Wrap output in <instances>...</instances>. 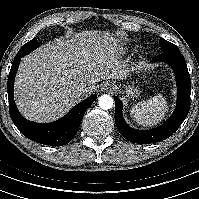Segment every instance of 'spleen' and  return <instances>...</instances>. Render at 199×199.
Listing matches in <instances>:
<instances>
[{"instance_id":"1","label":"spleen","mask_w":199,"mask_h":199,"mask_svg":"<svg viewBox=\"0 0 199 199\" xmlns=\"http://www.w3.org/2000/svg\"><path fill=\"white\" fill-rule=\"evenodd\" d=\"M167 111V101L159 94L137 104L130 110V115L134 117L138 124L147 127L156 125L164 118Z\"/></svg>"}]
</instances>
